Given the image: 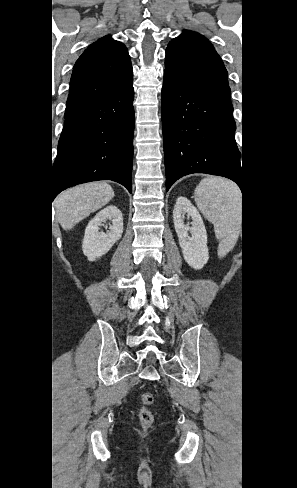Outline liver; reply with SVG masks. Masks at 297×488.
<instances>
[{
	"label": "liver",
	"instance_id": "6515ba94",
	"mask_svg": "<svg viewBox=\"0 0 297 488\" xmlns=\"http://www.w3.org/2000/svg\"><path fill=\"white\" fill-rule=\"evenodd\" d=\"M114 197L112 187L105 182H92L75 186L61 193L54 201L56 216L64 230L105 206Z\"/></svg>",
	"mask_w": 297,
	"mask_h": 488
}]
</instances>
